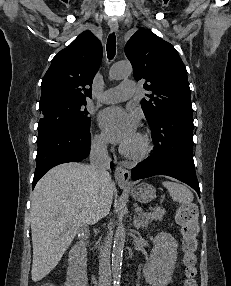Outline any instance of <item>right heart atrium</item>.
<instances>
[{"mask_svg":"<svg viewBox=\"0 0 231 286\" xmlns=\"http://www.w3.org/2000/svg\"><path fill=\"white\" fill-rule=\"evenodd\" d=\"M92 144L94 148L100 151L106 150L108 145L107 139L102 133H98L93 137Z\"/></svg>","mask_w":231,"mask_h":286,"instance_id":"obj_1","label":"right heart atrium"}]
</instances>
